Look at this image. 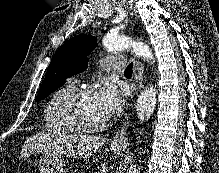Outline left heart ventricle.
I'll list each match as a JSON object with an SVG mask.
<instances>
[{"mask_svg":"<svg viewBox=\"0 0 219 173\" xmlns=\"http://www.w3.org/2000/svg\"><path fill=\"white\" fill-rule=\"evenodd\" d=\"M78 118L87 125H96L107 118L97 100L96 93L83 98L76 107Z\"/></svg>","mask_w":219,"mask_h":173,"instance_id":"obj_1","label":"left heart ventricle"}]
</instances>
